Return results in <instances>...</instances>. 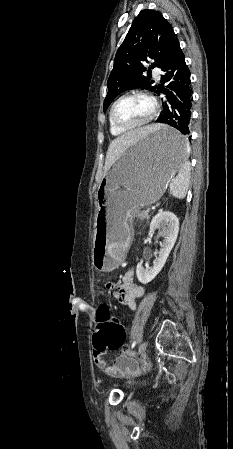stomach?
<instances>
[{
    "label": "stomach",
    "mask_w": 233,
    "mask_h": 449,
    "mask_svg": "<svg viewBox=\"0 0 233 449\" xmlns=\"http://www.w3.org/2000/svg\"><path fill=\"white\" fill-rule=\"evenodd\" d=\"M189 143L179 128L161 125L133 143L106 174L96 215L93 264L101 272L116 269L131 238L134 213L164 194L187 160Z\"/></svg>",
    "instance_id": "1"
}]
</instances>
